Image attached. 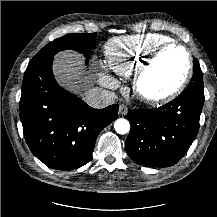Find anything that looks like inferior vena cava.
I'll return each instance as SVG.
<instances>
[{"label": "inferior vena cava", "mask_w": 217, "mask_h": 217, "mask_svg": "<svg viewBox=\"0 0 217 217\" xmlns=\"http://www.w3.org/2000/svg\"><path fill=\"white\" fill-rule=\"evenodd\" d=\"M115 94L102 88H92L87 91L84 101L91 107L105 108L115 102Z\"/></svg>", "instance_id": "inferior-vena-cava-1"}]
</instances>
